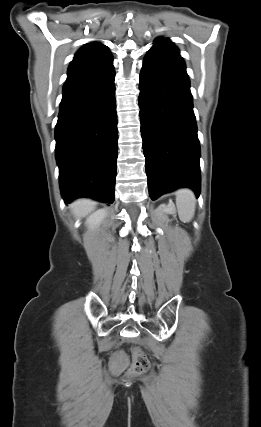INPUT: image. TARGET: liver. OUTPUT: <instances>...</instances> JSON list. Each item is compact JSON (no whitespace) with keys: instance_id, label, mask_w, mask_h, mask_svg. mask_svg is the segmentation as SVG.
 Here are the masks:
<instances>
[{"instance_id":"liver-1","label":"liver","mask_w":261,"mask_h":427,"mask_svg":"<svg viewBox=\"0 0 261 427\" xmlns=\"http://www.w3.org/2000/svg\"><path fill=\"white\" fill-rule=\"evenodd\" d=\"M70 208L77 218H82L88 216L95 210L96 202L90 199H79L73 202Z\"/></svg>"}]
</instances>
